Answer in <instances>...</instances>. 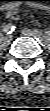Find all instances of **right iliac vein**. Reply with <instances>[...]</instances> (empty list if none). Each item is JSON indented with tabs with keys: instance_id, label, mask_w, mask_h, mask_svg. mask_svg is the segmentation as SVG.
<instances>
[{
	"instance_id": "obj_1",
	"label": "right iliac vein",
	"mask_w": 50,
	"mask_h": 111,
	"mask_svg": "<svg viewBox=\"0 0 50 111\" xmlns=\"http://www.w3.org/2000/svg\"><path fill=\"white\" fill-rule=\"evenodd\" d=\"M12 39V35L11 34H7L6 36H5V40L6 41H10Z\"/></svg>"
}]
</instances>
